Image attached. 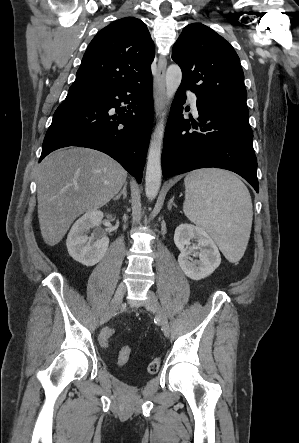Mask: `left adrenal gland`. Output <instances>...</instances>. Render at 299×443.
I'll use <instances>...</instances> for the list:
<instances>
[{
  "instance_id": "a2214340",
  "label": "left adrenal gland",
  "mask_w": 299,
  "mask_h": 443,
  "mask_svg": "<svg viewBox=\"0 0 299 443\" xmlns=\"http://www.w3.org/2000/svg\"><path fill=\"white\" fill-rule=\"evenodd\" d=\"M173 201H174V197H172L168 202V206H167L168 210H171L172 206L176 207V205Z\"/></svg>"
}]
</instances>
